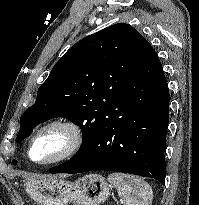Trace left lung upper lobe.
<instances>
[{
  "instance_id": "1",
  "label": "left lung upper lobe",
  "mask_w": 199,
  "mask_h": 205,
  "mask_svg": "<svg viewBox=\"0 0 199 205\" xmlns=\"http://www.w3.org/2000/svg\"><path fill=\"white\" fill-rule=\"evenodd\" d=\"M144 40L131 25L118 23L74 44L38 89L35 104L22 115L16 142L28 137L39 123L68 118L81 128L83 144L73 158L50 172L59 173L78 161L101 131Z\"/></svg>"
}]
</instances>
